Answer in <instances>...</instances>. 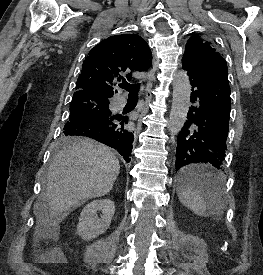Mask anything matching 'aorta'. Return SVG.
I'll return each instance as SVG.
<instances>
[{
    "instance_id": "aorta-1",
    "label": "aorta",
    "mask_w": 263,
    "mask_h": 275,
    "mask_svg": "<svg viewBox=\"0 0 263 275\" xmlns=\"http://www.w3.org/2000/svg\"><path fill=\"white\" fill-rule=\"evenodd\" d=\"M191 84L185 71H178L173 77V99L168 123L169 131L176 135L183 128L190 106Z\"/></svg>"
}]
</instances>
